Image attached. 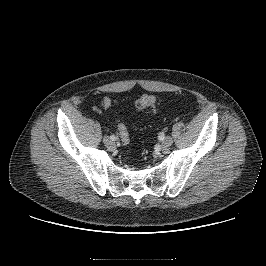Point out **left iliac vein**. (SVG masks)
Returning <instances> with one entry per match:
<instances>
[{
  "instance_id": "1",
  "label": "left iliac vein",
  "mask_w": 266,
  "mask_h": 266,
  "mask_svg": "<svg viewBox=\"0 0 266 266\" xmlns=\"http://www.w3.org/2000/svg\"><path fill=\"white\" fill-rule=\"evenodd\" d=\"M172 143H173L172 138L167 136V137L164 138V141L162 142V146L167 148V147L171 146Z\"/></svg>"
}]
</instances>
